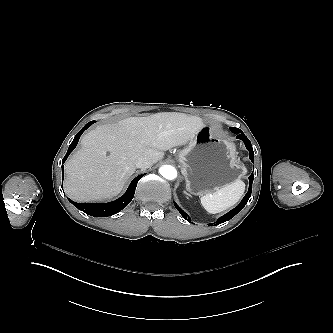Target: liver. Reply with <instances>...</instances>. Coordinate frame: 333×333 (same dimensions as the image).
I'll use <instances>...</instances> for the list:
<instances>
[{"label":"liver","instance_id":"1","mask_svg":"<svg viewBox=\"0 0 333 333\" xmlns=\"http://www.w3.org/2000/svg\"><path fill=\"white\" fill-rule=\"evenodd\" d=\"M204 127L200 118L175 112L99 126L82 138V149L66 163L65 191L81 202L114 196L140 157L155 164L163 151L189 144Z\"/></svg>","mask_w":333,"mask_h":333}]
</instances>
